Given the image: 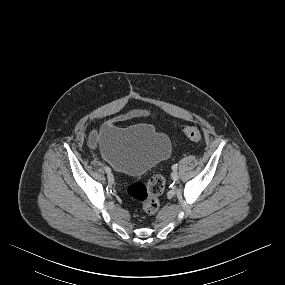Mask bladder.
I'll use <instances>...</instances> for the list:
<instances>
[{
	"instance_id": "1",
	"label": "bladder",
	"mask_w": 285,
	"mask_h": 285,
	"mask_svg": "<svg viewBox=\"0 0 285 285\" xmlns=\"http://www.w3.org/2000/svg\"><path fill=\"white\" fill-rule=\"evenodd\" d=\"M99 134L103 158L125 174L145 173L171 152L168 136L150 124L141 123L126 128L105 124Z\"/></svg>"
}]
</instances>
